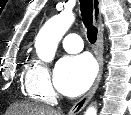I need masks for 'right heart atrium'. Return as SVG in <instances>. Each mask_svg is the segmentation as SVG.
Listing matches in <instances>:
<instances>
[{
  "mask_svg": "<svg viewBox=\"0 0 131 115\" xmlns=\"http://www.w3.org/2000/svg\"><path fill=\"white\" fill-rule=\"evenodd\" d=\"M26 90L45 103H51L56 98L48 68L40 61H34L26 73Z\"/></svg>",
  "mask_w": 131,
  "mask_h": 115,
  "instance_id": "right-heart-atrium-1",
  "label": "right heart atrium"
}]
</instances>
